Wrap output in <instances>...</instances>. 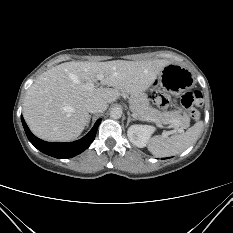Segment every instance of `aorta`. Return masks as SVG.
I'll return each instance as SVG.
<instances>
[{
  "label": "aorta",
  "instance_id": "obj_1",
  "mask_svg": "<svg viewBox=\"0 0 233 233\" xmlns=\"http://www.w3.org/2000/svg\"><path fill=\"white\" fill-rule=\"evenodd\" d=\"M110 116L113 119H119L122 116V110L118 107L112 108L110 111Z\"/></svg>",
  "mask_w": 233,
  "mask_h": 233
}]
</instances>
